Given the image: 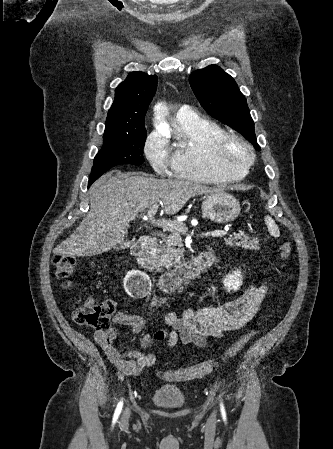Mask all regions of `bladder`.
Listing matches in <instances>:
<instances>
[{"label": "bladder", "instance_id": "bladder-1", "mask_svg": "<svg viewBox=\"0 0 333 449\" xmlns=\"http://www.w3.org/2000/svg\"><path fill=\"white\" fill-rule=\"evenodd\" d=\"M152 402L160 408L176 409L184 406L186 398L184 393L175 386H161L153 391Z\"/></svg>", "mask_w": 333, "mask_h": 449}]
</instances>
